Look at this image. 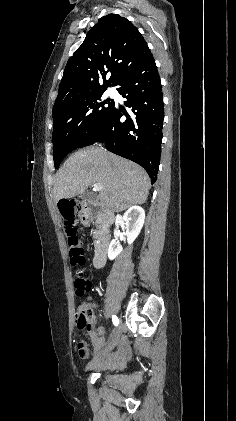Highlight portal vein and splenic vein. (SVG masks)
<instances>
[{"mask_svg": "<svg viewBox=\"0 0 236 421\" xmlns=\"http://www.w3.org/2000/svg\"><path fill=\"white\" fill-rule=\"evenodd\" d=\"M92 190H102L101 184H98V182H96V184H94Z\"/></svg>", "mask_w": 236, "mask_h": 421, "instance_id": "obj_1", "label": "portal vein and splenic vein"}]
</instances>
